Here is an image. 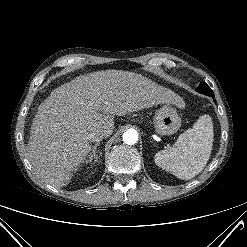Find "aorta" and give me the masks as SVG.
<instances>
[{"label": "aorta", "mask_w": 247, "mask_h": 247, "mask_svg": "<svg viewBox=\"0 0 247 247\" xmlns=\"http://www.w3.org/2000/svg\"><path fill=\"white\" fill-rule=\"evenodd\" d=\"M138 141L137 131L134 129H128L123 133V142L127 145H133Z\"/></svg>", "instance_id": "aorta-1"}]
</instances>
